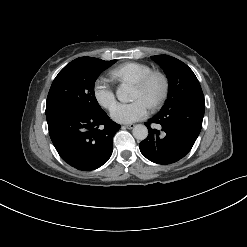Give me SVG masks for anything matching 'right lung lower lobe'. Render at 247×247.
<instances>
[{
  "label": "right lung lower lobe",
  "instance_id": "98d812e1",
  "mask_svg": "<svg viewBox=\"0 0 247 247\" xmlns=\"http://www.w3.org/2000/svg\"><path fill=\"white\" fill-rule=\"evenodd\" d=\"M50 138L60 157L72 167L92 171L112 154V140L120 125L101 110L85 113L63 110L47 117Z\"/></svg>",
  "mask_w": 247,
  "mask_h": 247
}]
</instances>
